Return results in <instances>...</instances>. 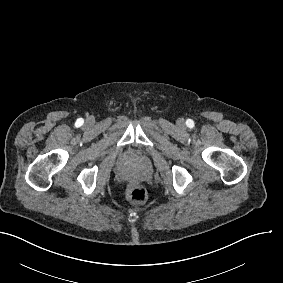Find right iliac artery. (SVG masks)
Here are the masks:
<instances>
[{
    "label": "right iliac artery",
    "mask_w": 283,
    "mask_h": 283,
    "mask_svg": "<svg viewBox=\"0 0 283 283\" xmlns=\"http://www.w3.org/2000/svg\"><path fill=\"white\" fill-rule=\"evenodd\" d=\"M84 120L82 118L77 119L76 126H81L83 124Z\"/></svg>",
    "instance_id": "1"
}]
</instances>
